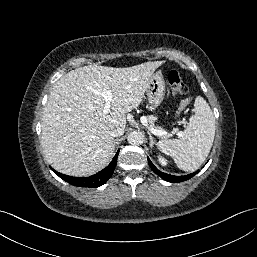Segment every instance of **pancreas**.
<instances>
[{"mask_svg": "<svg viewBox=\"0 0 257 257\" xmlns=\"http://www.w3.org/2000/svg\"><path fill=\"white\" fill-rule=\"evenodd\" d=\"M154 121H155V118H153V117L148 119V122H149L150 127H153V128L159 129V130H162L160 127H156V126L154 125Z\"/></svg>", "mask_w": 257, "mask_h": 257, "instance_id": "cf45deb5", "label": "pancreas"}]
</instances>
